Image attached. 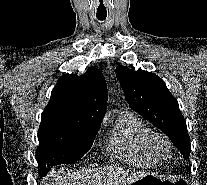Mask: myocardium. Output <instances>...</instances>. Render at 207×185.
Returning a JSON list of instances; mask_svg holds the SVG:
<instances>
[{
	"label": "myocardium",
	"mask_w": 207,
	"mask_h": 185,
	"mask_svg": "<svg viewBox=\"0 0 207 185\" xmlns=\"http://www.w3.org/2000/svg\"><path fill=\"white\" fill-rule=\"evenodd\" d=\"M152 151L162 160L170 159L175 151L173 142L163 133L153 132L150 136Z\"/></svg>",
	"instance_id": "myocardium-1"
}]
</instances>
